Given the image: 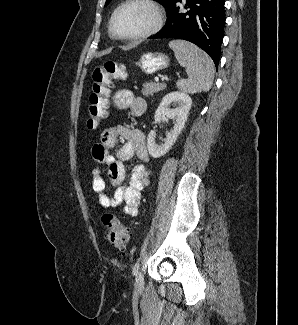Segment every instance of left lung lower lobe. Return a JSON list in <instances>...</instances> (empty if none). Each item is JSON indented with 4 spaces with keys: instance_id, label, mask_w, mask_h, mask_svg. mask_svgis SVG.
<instances>
[{
    "instance_id": "left-lung-lower-lobe-1",
    "label": "left lung lower lobe",
    "mask_w": 298,
    "mask_h": 325,
    "mask_svg": "<svg viewBox=\"0 0 298 325\" xmlns=\"http://www.w3.org/2000/svg\"><path fill=\"white\" fill-rule=\"evenodd\" d=\"M186 13L180 12L178 2L173 0L167 7L165 26L150 39L175 38L190 41L213 59L218 66L225 26V0H186Z\"/></svg>"
}]
</instances>
